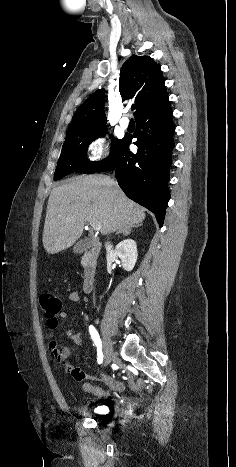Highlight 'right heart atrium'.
Here are the masks:
<instances>
[{"label": "right heart atrium", "instance_id": "1", "mask_svg": "<svg viewBox=\"0 0 236 467\" xmlns=\"http://www.w3.org/2000/svg\"><path fill=\"white\" fill-rule=\"evenodd\" d=\"M109 151V141L101 135L95 136L86 145L87 158L92 164L101 162L108 155Z\"/></svg>", "mask_w": 236, "mask_h": 467}]
</instances>
